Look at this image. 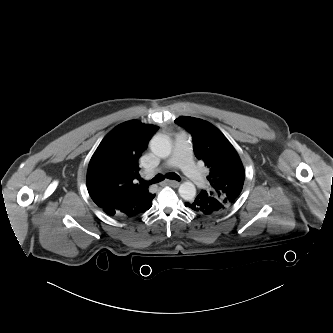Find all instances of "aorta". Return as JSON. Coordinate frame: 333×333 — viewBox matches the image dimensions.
<instances>
[{"instance_id": "obj_1", "label": "aorta", "mask_w": 333, "mask_h": 333, "mask_svg": "<svg viewBox=\"0 0 333 333\" xmlns=\"http://www.w3.org/2000/svg\"><path fill=\"white\" fill-rule=\"evenodd\" d=\"M151 151L160 158H166L171 154L172 145L168 136L155 135L150 141ZM179 194L184 200H191L196 195V188L192 182L186 181L179 187Z\"/></svg>"}]
</instances>
